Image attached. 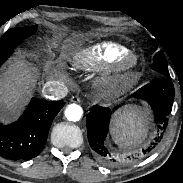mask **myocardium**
Segmentation results:
<instances>
[{
  "instance_id": "myocardium-1",
  "label": "myocardium",
  "mask_w": 183,
  "mask_h": 183,
  "mask_svg": "<svg viewBox=\"0 0 183 183\" xmlns=\"http://www.w3.org/2000/svg\"><path fill=\"white\" fill-rule=\"evenodd\" d=\"M139 64V57L132 52H127L114 60L107 73L101 78V82L106 84L123 79L136 72Z\"/></svg>"
}]
</instances>
